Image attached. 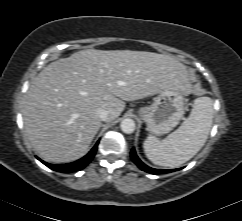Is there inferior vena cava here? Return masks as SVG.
<instances>
[{"instance_id":"1","label":"inferior vena cava","mask_w":242,"mask_h":221,"mask_svg":"<svg viewBox=\"0 0 242 221\" xmlns=\"http://www.w3.org/2000/svg\"><path fill=\"white\" fill-rule=\"evenodd\" d=\"M97 115L101 121H108L109 120V111L105 109H100L97 111Z\"/></svg>"}]
</instances>
